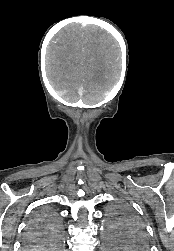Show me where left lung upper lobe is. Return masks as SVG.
Returning a JSON list of instances; mask_svg holds the SVG:
<instances>
[{
    "instance_id": "1",
    "label": "left lung upper lobe",
    "mask_w": 174,
    "mask_h": 251,
    "mask_svg": "<svg viewBox=\"0 0 174 251\" xmlns=\"http://www.w3.org/2000/svg\"><path fill=\"white\" fill-rule=\"evenodd\" d=\"M111 235L121 240L125 239L138 250H146L148 240L142 223L125 204H117L109 212Z\"/></svg>"
}]
</instances>
